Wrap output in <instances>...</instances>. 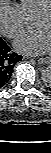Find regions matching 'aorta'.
Wrapping results in <instances>:
<instances>
[{
	"instance_id": "aorta-1",
	"label": "aorta",
	"mask_w": 51,
	"mask_h": 153,
	"mask_svg": "<svg viewBox=\"0 0 51 153\" xmlns=\"http://www.w3.org/2000/svg\"><path fill=\"white\" fill-rule=\"evenodd\" d=\"M42 81L44 82L45 85L49 86L51 84V69H50V67H47L43 70Z\"/></svg>"
}]
</instances>
